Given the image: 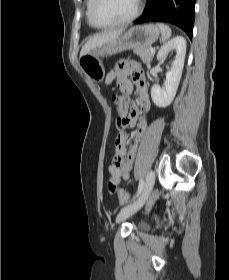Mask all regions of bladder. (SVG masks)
Masks as SVG:
<instances>
[{"label":"bladder","mask_w":229,"mask_h":280,"mask_svg":"<svg viewBox=\"0 0 229 280\" xmlns=\"http://www.w3.org/2000/svg\"><path fill=\"white\" fill-rule=\"evenodd\" d=\"M136 227H137L138 230H147V228H148L147 225L142 223V222H138L136 224Z\"/></svg>","instance_id":"1"}]
</instances>
